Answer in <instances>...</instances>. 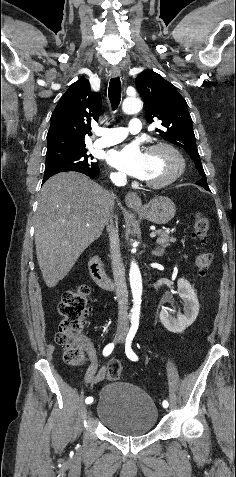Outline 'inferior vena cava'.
Wrapping results in <instances>:
<instances>
[{
	"instance_id": "inferior-vena-cava-1",
	"label": "inferior vena cava",
	"mask_w": 236,
	"mask_h": 477,
	"mask_svg": "<svg viewBox=\"0 0 236 477\" xmlns=\"http://www.w3.org/2000/svg\"><path fill=\"white\" fill-rule=\"evenodd\" d=\"M117 186H123L126 183V177L123 175L117 176L113 179ZM114 206V196L112 199V206L108 212L106 222L110 223V253L111 265L113 271V278L116 287V300L118 303V323L127 326L128 323V291L126 285L125 271L122 267L119 235L117 226H114L112 209Z\"/></svg>"
}]
</instances>
